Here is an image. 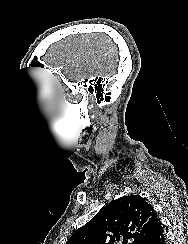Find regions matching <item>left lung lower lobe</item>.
Here are the masks:
<instances>
[{"instance_id":"1","label":"left lung lower lobe","mask_w":188,"mask_h":244,"mask_svg":"<svg viewBox=\"0 0 188 244\" xmlns=\"http://www.w3.org/2000/svg\"><path fill=\"white\" fill-rule=\"evenodd\" d=\"M146 244H166L164 232L159 218L153 224Z\"/></svg>"}]
</instances>
